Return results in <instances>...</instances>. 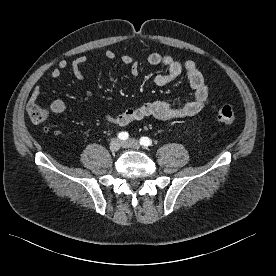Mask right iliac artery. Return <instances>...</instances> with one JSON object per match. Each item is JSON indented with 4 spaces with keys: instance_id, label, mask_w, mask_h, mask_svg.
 <instances>
[{
    "instance_id": "82829eb1",
    "label": "right iliac artery",
    "mask_w": 276,
    "mask_h": 276,
    "mask_svg": "<svg viewBox=\"0 0 276 276\" xmlns=\"http://www.w3.org/2000/svg\"><path fill=\"white\" fill-rule=\"evenodd\" d=\"M118 138L120 140H127L129 138V134L127 132H120L118 134Z\"/></svg>"
}]
</instances>
